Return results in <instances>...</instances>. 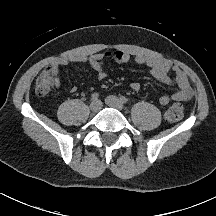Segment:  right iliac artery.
<instances>
[{"label": "right iliac artery", "mask_w": 216, "mask_h": 216, "mask_svg": "<svg viewBox=\"0 0 216 216\" xmlns=\"http://www.w3.org/2000/svg\"><path fill=\"white\" fill-rule=\"evenodd\" d=\"M98 97H99V93L95 92V93L92 94L91 100L96 101L98 99Z\"/></svg>", "instance_id": "right-iliac-artery-1"}]
</instances>
